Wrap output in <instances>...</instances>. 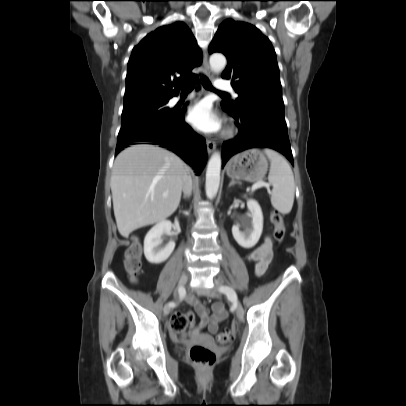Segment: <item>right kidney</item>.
<instances>
[{
    "label": "right kidney",
    "instance_id": "1",
    "mask_svg": "<svg viewBox=\"0 0 406 406\" xmlns=\"http://www.w3.org/2000/svg\"><path fill=\"white\" fill-rule=\"evenodd\" d=\"M172 224L164 220L157 223L147 233L144 239V254L146 259L152 264H159L166 261L175 248V242L170 241L165 247H161V236L165 232L171 231Z\"/></svg>",
    "mask_w": 406,
    "mask_h": 406
}]
</instances>
